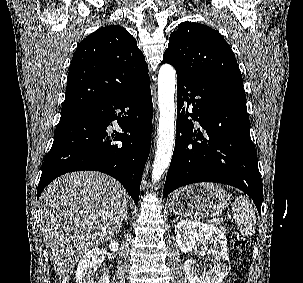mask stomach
Wrapping results in <instances>:
<instances>
[{
    "label": "stomach",
    "mask_w": 303,
    "mask_h": 283,
    "mask_svg": "<svg viewBox=\"0 0 303 283\" xmlns=\"http://www.w3.org/2000/svg\"><path fill=\"white\" fill-rule=\"evenodd\" d=\"M228 204L225 190L214 183H200L174 192L169 199L170 211L178 216L209 218L221 214Z\"/></svg>",
    "instance_id": "obj_1"
}]
</instances>
